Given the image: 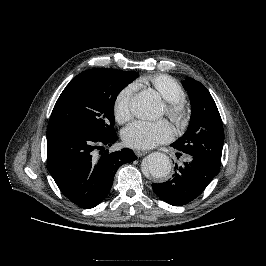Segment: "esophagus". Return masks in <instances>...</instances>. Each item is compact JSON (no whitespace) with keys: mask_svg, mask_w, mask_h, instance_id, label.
<instances>
[{"mask_svg":"<svg viewBox=\"0 0 266 266\" xmlns=\"http://www.w3.org/2000/svg\"><path fill=\"white\" fill-rule=\"evenodd\" d=\"M135 154L137 155V157H142L144 155L147 154V151H143V150H136Z\"/></svg>","mask_w":266,"mask_h":266,"instance_id":"34e87169","label":"esophagus"}]
</instances>
